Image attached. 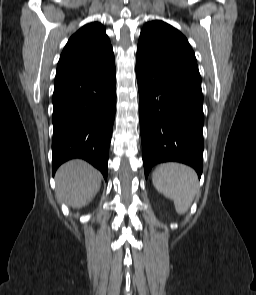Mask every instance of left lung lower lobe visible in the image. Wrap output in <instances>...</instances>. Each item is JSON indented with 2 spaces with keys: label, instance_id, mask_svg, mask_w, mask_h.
Returning a JSON list of instances; mask_svg holds the SVG:
<instances>
[{
  "label": "left lung lower lobe",
  "instance_id": "obj_1",
  "mask_svg": "<svg viewBox=\"0 0 256 295\" xmlns=\"http://www.w3.org/2000/svg\"><path fill=\"white\" fill-rule=\"evenodd\" d=\"M145 177L159 163L176 161L203 170V97L152 77L136 65Z\"/></svg>",
  "mask_w": 256,
  "mask_h": 295
}]
</instances>
